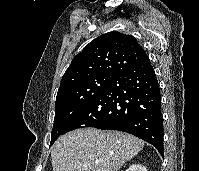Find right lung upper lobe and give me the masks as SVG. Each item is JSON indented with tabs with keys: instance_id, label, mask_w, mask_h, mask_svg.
Returning a JSON list of instances; mask_svg holds the SVG:
<instances>
[{
	"instance_id": "obj_1",
	"label": "right lung upper lobe",
	"mask_w": 199,
	"mask_h": 171,
	"mask_svg": "<svg viewBox=\"0 0 199 171\" xmlns=\"http://www.w3.org/2000/svg\"><path fill=\"white\" fill-rule=\"evenodd\" d=\"M147 58L133 36L116 31L103 34L73 58L62 77L57 97L92 77L116 76Z\"/></svg>"
}]
</instances>
